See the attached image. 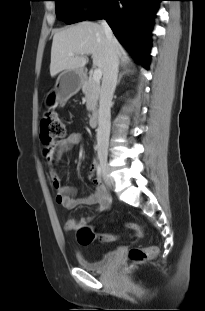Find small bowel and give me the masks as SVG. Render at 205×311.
<instances>
[{"instance_id":"1","label":"small bowel","mask_w":205,"mask_h":311,"mask_svg":"<svg viewBox=\"0 0 205 311\" xmlns=\"http://www.w3.org/2000/svg\"><path fill=\"white\" fill-rule=\"evenodd\" d=\"M81 140V133L71 132L61 141L53 145L51 154L48 157L50 184L56 192V201L63 207L73 209L79 205H95L96 212H103L110 205V196L100 180L93 179V183L95 185L93 193L86 197L75 198V189L73 187L63 185L61 175L57 169L59 157L75 145L79 144ZM52 154L54 157H52ZM94 168V165H92L90 177H93ZM90 220L91 217L81 218L79 220L69 218L66 221L65 228L68 231H75L80 226L86 225Z\"/></svg>"}]
</instances>
